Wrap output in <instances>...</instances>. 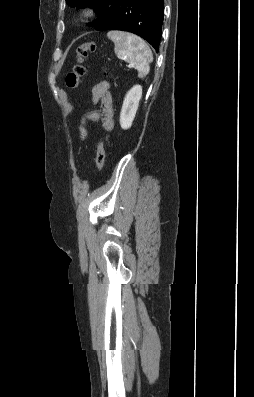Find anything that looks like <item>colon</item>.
Masks as SVG:
<instances>
[{
	"label": "colon",
	"instance_id": "colon-1",
	"mask_svg": "<svg viewBox=\"0 0 254 397\" xmlns=\"http://www.w3.org/2000/svg\"><path fill=\"white\" fill-rule=\"evenodd\" d=\"M97 49L94 42H87L78 47L76 51V63L71 72L65 78V83L70 89H78L81 86L82 78L86 73L85 60L88 55ZM105 161V142L100 141L96 149V167L100 171Z\"/></svg>",
	"mask_w": 254,
	"mask_h": 397
}]
</instances>
